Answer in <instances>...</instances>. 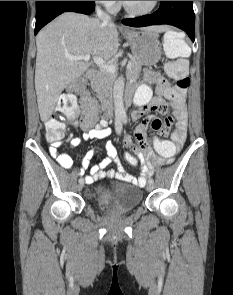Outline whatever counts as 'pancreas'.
<instances>
[{"label":"pancreas","instance_id":"obj_1","mask_svg":"<svg viewBox=\"0 0 233 295\" xmlns=\"http://www.w3.org/2000/svg\"><path fill=\"white\" fill-rule=\"evenodd\" d=\"M131 63L132 66L128 69L127 73L138 77L141 72L142 64L135 58H132ZM114 65H116V63H114ZM115 80V73H110L100 68L97 74L91 80L92 90L96 93L99 99L104 100L109 96Z\"/></svg>","mask_w":233,"mask_h":295}]
</instances>
